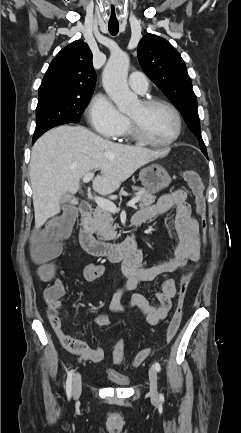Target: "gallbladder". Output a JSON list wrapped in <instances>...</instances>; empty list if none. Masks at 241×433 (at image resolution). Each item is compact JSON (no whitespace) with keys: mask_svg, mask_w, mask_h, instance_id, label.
Returning <instances> with one entry per match:
<instances>
[{"mask_svg":"<svg viewBox=\"0 0 241 433\" xmlns=\"http://www.w3.org/2000/svg\"><path fill=\"white\" fill-rule=\"evenodd\" d=\"M62 202H71L73 201L72 195L70 193H64L61 197ZM64 209L67 213H71L73 217H76L78 214V209L73 205H65Z\"/></svg>","mask_w":241,"mask_h":433,"instance_id":"1","label":"gallbladder"}]
</instances>
